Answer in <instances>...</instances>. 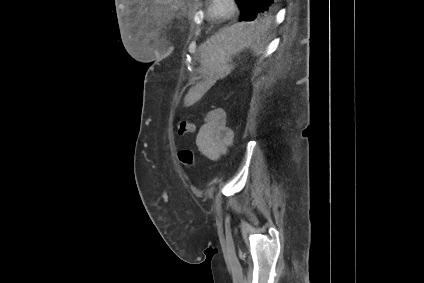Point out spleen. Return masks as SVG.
Masks as SVG:
<instances>
[{"mask_svg": "<svg viewBox=\"0 0 424 283\" xmlns=\"http://www.w3.org/2000/svg\"><path fill=\"white\" fill-rule=\"evenodd\" d=\"M257 26H252L250 29V33H252L253 35L249 37L248 41H250L252 38H255L257 36V31H256ZM244 44V43H243ZM243 44H239L240 46Z\"/></svg>", "mask_w": 424, "mask_h": 283, "instance_id": "1", "label": "spleen"}]
</instances>
